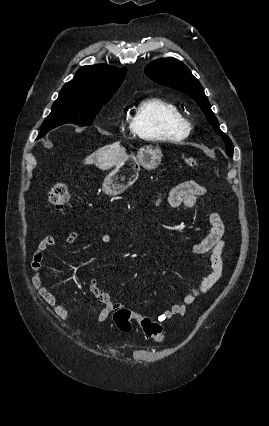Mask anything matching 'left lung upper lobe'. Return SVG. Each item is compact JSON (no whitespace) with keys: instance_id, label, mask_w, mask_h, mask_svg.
Masks as SVG:
<instances>
[{"instance_id":"obj_1","label":"left lung upper lobe","mask_w":269,"mask_h":426,"mask_svg":"<svg viewBox=\"0 0 269 426\" xmlns=\"http://www.w3.org/2000/svg\"><path fill=\"white\" fill-rule=\"evenodd\" d=\"M145 74L153 81L184 92L194 99L213 126L214 131L225 142L227 155L233 156V144L230 138L220 130L219 122L211 110L203 87L186 65L175 58L158 59L146 66Z\"/></svg>"}]
</instances>
